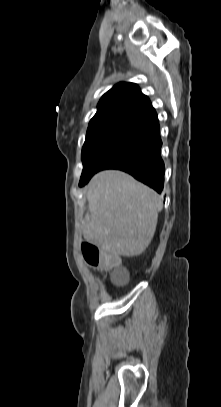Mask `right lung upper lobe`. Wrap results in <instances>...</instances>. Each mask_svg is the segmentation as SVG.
<instances>
[{
    "label": "right lung upper lobe",
    "instance_id": "right-lung-upper-lobe-1",
    "mask_svg": "<svg viewBox=\"0 0 221 407\" xmlns=\"http://www.w3.org/2000/svg\"><path fill=\"white\" fill-rule=\"evenodd\" d=\"M157 116L149 98L134 83H119L105 93L87 134L115 126L140 127Z\"/></svg>",
    "mask_w": 221,
    "mask_h": 407
}]
</instances>
